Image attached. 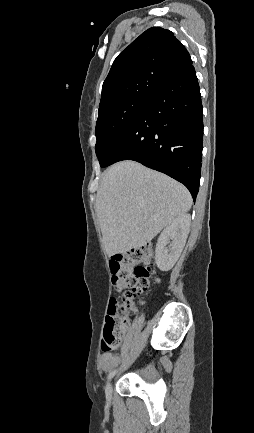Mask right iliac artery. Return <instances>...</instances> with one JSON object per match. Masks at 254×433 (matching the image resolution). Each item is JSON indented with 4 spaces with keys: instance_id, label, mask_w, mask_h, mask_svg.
Wrapping results in <instances>:
<instances>
[{
    "instance_id": "right-iliac-artery-1",
    "label": "right iliac artery",
    "mask_w": 254,
    "mask_h": 433,
    "mask_svg": "<svg viewBox=\"0 0 254 433\" xmlns=\"http://www.w3.org/2000/svg\"><path fill=\"white\" fill-rule=\"evenodd\" d=\"M115 373H116V370H115V369H114V370H111V371L109 372L108 379H111V378L115 375Z\"/></svg>"
}]
</instances>
